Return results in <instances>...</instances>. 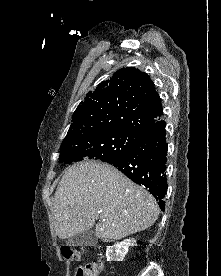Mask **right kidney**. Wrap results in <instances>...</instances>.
Segmentation results:
<instances>
[{"label": "right kidney", "instance_id": "1", "mask_svg": "<svg viewBox=\"0 0 221 276\" xmlns=\"http://www.w3.org/2000/svg\"><path fill=\"white\" fill-rule=\"evenodd\" d=\"M136 243L134 239H126L113 246H108L106 250L107 261H123L128 253L129 247Z\"/></svg>", "mask_w": 221, "mask_h": 276}]
</instances>
